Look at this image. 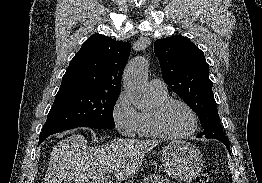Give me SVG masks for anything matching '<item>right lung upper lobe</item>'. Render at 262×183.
Listing matches in <instances>:
<instances>
[{
    "label": "right lung upper lobe",
    "instance_id": "1",
    "mask_svg": "<svg viewBox=\"0 0 262 183\" xmlns=\"http://www.w3.org/2000/svg\"><path fill=\"white\" fill-rule=\"evenodd\" d=\"M131 44L95 34L72 58L58 93L73 90L121 91V78Z\"/></svg>",
    "mask_w": 262,
    "mask_h": 183
}]
</instances>
